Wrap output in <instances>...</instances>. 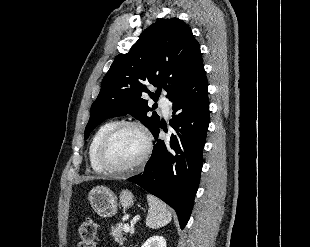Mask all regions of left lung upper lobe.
I'll return each mask as SVG.
<instances>
[{
	"instance_id": "5c2ea615",
	"label": "left lung upper lobe",
	"mask_w": 310,
	"mask_h": 247,
	"mask_svg": "<svg viewBox=\"0 0 310 247\" xmlns=\"http://www.w3.org/2000/svg\"><path fill=\"white\" fill-rule=\"evenodd\" d=\"M198 42L189 26L178 18L158 20L149 26L126 54L116 56L91 106L85 129L89 133L107 118L130 114L151 132L160 118L148 106L150 85L167 92L170 99L202 67Z\"/></svg>"
}]
</instances>
